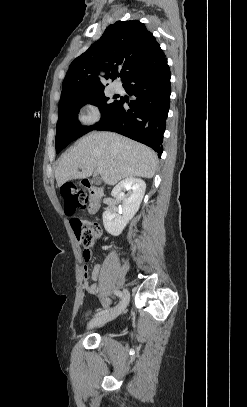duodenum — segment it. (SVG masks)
<instances>
[{"mask_svg":"<svg viewBox=\"0 0 247 407\" xmlns=\"http://www.w3.org/2000/svg\"><path fill=\"white\" fill-rule=\"evenodd\" d=\"M81 184L88 191V193L90 195L88 213L95 214L96 212H98V210L100 209V207L105 199V193L103 191H101L99 188H97L94 181H92L88 178L81 179Z\"/></svg>","mask_w":247,"mask_h":407,"instance_id":"1","label":"duodenum"}]
</instances>
